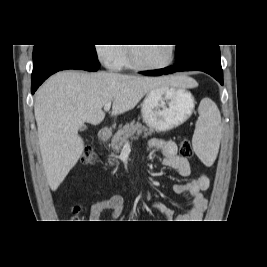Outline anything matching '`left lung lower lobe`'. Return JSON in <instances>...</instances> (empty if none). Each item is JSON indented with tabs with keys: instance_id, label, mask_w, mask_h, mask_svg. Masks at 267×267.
Segmentation results:
<instances>
[{
	"instance_id": "0a47b994",
	"label": "left lung lower lobe",
	"mask_w": 267,
	"mask_h": 267,
	"mask_svg": "<svg viewBox=\"0 0 267 267\" xmlns=\"http://www.w3.org/2000/svg\"><path fill=\"white\" fill-rule=\"evenodd\" d=\"M179 71H203L213 76L221 85H223V71L221 67L219 46L208 45L202 47L190 54L184 62L176 64L174 67L170 66L163 69L142 71L139 73L159 76Z\"/></svg>"
}]
</instances>
